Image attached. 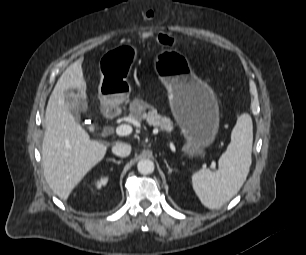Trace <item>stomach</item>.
<instances>
[{
    "instance_id": "0dacf381",
    "label": "stomach",
    "mask_w": 306,
    "mask_h": 255,
    "mask_svg": "<svg viewBox=\"0 0 306 255\" xmlns=\"http://www.w3.org/2000/svg\"><path fill=\"white\" fill-rule=\"evenodd\" d=\"M136 57L137 49L131 45H119L102 56L98 96L104 111L114 109L128 98L131 87L125 76ZM155 66L168 89L173 115L186 139L184 152L202 156L218 131V108L214 93L194 75L191 61L183 53L164 50L157 56Z\"/></svg>"
}]
</instances>
